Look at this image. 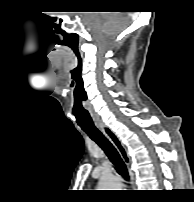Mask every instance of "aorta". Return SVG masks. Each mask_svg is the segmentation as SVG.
<instances>
[{"label":"aorta","instance_id":"762f6f07","mask_svg":"<svg viewBox=\"0 0 194 202\" xmlns=\"http://www.w3.org/2000/svg\"><path fill=\"white\" fill-rule=\"evenodd\" d=\"M120 186V180L115 176H102L98 184L99 190H118Z\"/></svg>","mask_w":194,"mask_h":202}]
</instances>
